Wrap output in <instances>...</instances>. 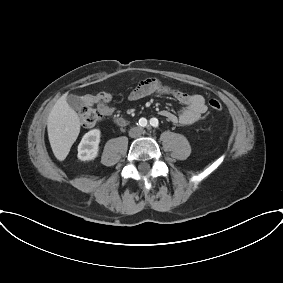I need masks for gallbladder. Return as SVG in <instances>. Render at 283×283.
Returning a JSON list of instances; mask_svg holds the SVG:
<instances>
[{
    "instance_id": "gallbladder-1",
    "label": "gallbladder",
    "mask_w": 283,
    "mask_h": 283,
    "mask_svg": "<svg viewBox=\"0 0 283 283\" xmlns=\"http://www.w3.org/2000/svg\"><path fill=\"white\" fill-rule=\"evenodd\" d=\"M67 103L70 107L77 109L81 106L82 100L76 95H69L67 97Z\"/></svg>"
}]
</instances>
